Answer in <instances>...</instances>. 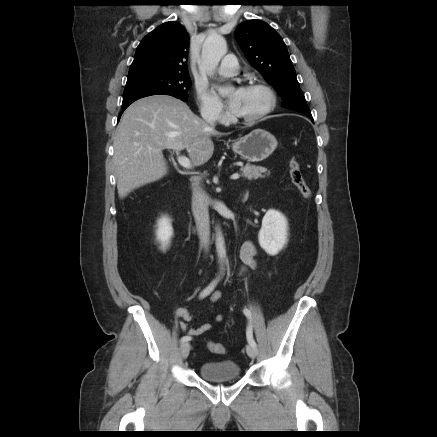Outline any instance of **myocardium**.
Instances as JSON below:
<instances>
[{
    "instance_id": "f54148a6",
    "label": "myocardium",
    "mask_w": 437,
    "mask_h": 437,
    "mask_svg": "<svg viewBox=\"0 0 437 437\" xmlns=\"http://www.w3.org/2000/svg\"><path fill=\"white\" fill-rule=\"evenodd\" d=\"M245 88H253L262 90L267 96V103L265 107L256 115L250 117H241L234 115L232 119L236 122L242 123H256L262 119H264L268 114L272 112L276 105V95L272 88L263 82H250L246 85Z\"/></svg>"
}]
</instances>
